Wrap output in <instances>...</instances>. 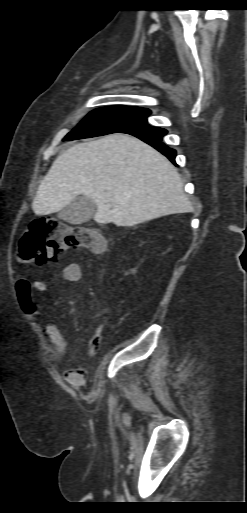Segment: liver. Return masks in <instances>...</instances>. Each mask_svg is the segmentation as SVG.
Listing matches in <instances>:
<instances>
[{
  "label": "liver",
  "mask_w": 247,
  "mask_h": 513,
  "mask_svg": "<svg viewBox=\"0 0 247 513\" xmlns=\"http://www.w3.org/2000/svg\"><path fill=\"white\" fill-rule=\"evenodd\" d=\"M83 194L96 204L100 224L135 226L192 211L183 183L169 160L128 134L75 144L59 155L39 185L32 209L60 212Z\"/></svg>",
  "instance_id": "obj_1"
}]
</instances>
